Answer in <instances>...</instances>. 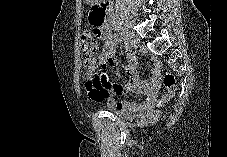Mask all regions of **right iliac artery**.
<instances>
[{"label": "right iliac artery", "instance_id": "obj_1", "mask_svg": "<svg viewBox=\"0 0 227 157\" xmlns=\"http://www.w3.org/2000/svg\"><path fill=\"white\" fill-rule=\"evenodd\" d=\"M125 50H126V53H131V47H130V45H125Z\"/></svg>", "mask_w": 227, "mask_h": 157}]
</instances>
